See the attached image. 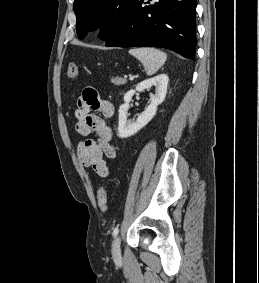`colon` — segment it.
Listing matches in <instances>:
<instances>
[{"mask_svg":"<svg viewBox=\"0 0 259 283\" xmlns=\"http://www.w3.org/2000/svg\"><path fill=\"white\" fill-rule=\"evenodd\" d=\"M78 75V65L71 62L67 69V76L69 79H75ZM98 205L101 210H106L108 206V193L105 187H101L98 191Z\"/></svg>","mask_w":259,"mask_h":283,"instance_id":"obj_1","label":"colon"}]
</instances>
